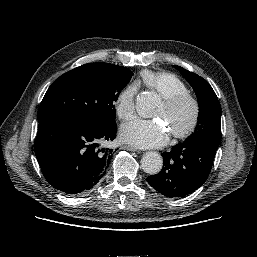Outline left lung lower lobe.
<instances>
[{
    "mask_svg": "<svg viewBox=\"0 0 257 257\" xmlns=\"http://www.w3.org/2000/svg\"><path fill=\"white\" fill-rule=\"evenodd\" d=\"M220 144L208 140H186L164 152L162 170L147 178L161 194L179 198L196 191L207 179Z\"/></svg>",
    "mask_w": 257,
    "mask_h": 257,
    "instance_id": "0a47b994",
    "label": "left lung lower lobe"
}]
</instances>
